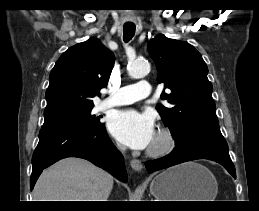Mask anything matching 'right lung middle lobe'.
I'll return each mask as SVG.
<instances>
[{
  "label": "right lung middle lobe",
  "instance_id": "1",
  "mask_svg": "<svg viewBox=\"0 0 259 211\" xmlns=\"http://www.w3.org/2000/svg\"><path fill=\"white\" fill-rule=\"evenodd\" d=\"M91 110L75 114L73 116L67 117L65 119H62L53 123L43 124L42 127L71 126V127L88 129V128H99L104 126V124L100 122V118L93 115L91 113Z\"/></svg>",
  "mask_w": 259,
  "mask_h": 211
}]
</instances>
